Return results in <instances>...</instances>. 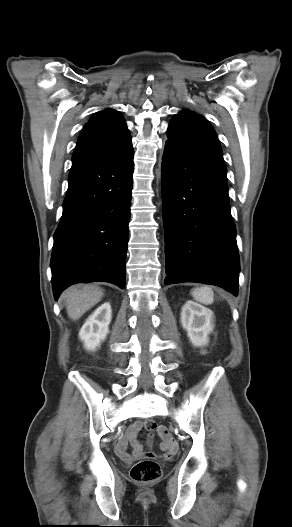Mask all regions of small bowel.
Instances as JSON below:
<instances>
[{"label": "small bowel", "mask_w": 292, "mask_h": 527, "mask_svg": "<svg viewBox=\"0 0 292 527\" xmlns=\"http://www.w3.org/2000/svg\"><path fill=\"white\" fill-rule=\"evenodd\" d=\"M142 428L144 427L141 423H134L128 428L124 436L116 444V453L124 461L129 462L132 459L131 455L127 451L128 445L132 446L133 457L135 458H150L154 456V453L152 452H145L142 445L137 440V435ZM152 429L154 432L159 433L162 439L160 445L162 452L159 454V457L164 463H167L169 461L168 457L176 452L177 444L170 434H168L169 429L167 426H163L162 423H154Z\"/></svg>", "instance_id": "obj_1"}]
</instances>
